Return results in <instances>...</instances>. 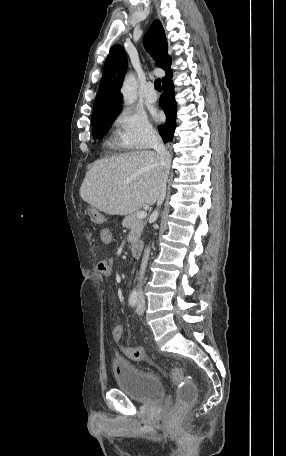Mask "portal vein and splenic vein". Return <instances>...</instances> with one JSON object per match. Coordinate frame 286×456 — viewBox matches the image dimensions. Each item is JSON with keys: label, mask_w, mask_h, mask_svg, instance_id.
I'll return each mask as SVG.
<instances>
[{"label": "portal vein and splenic vein", "mask_w": 286, "mask_h": 456, "mask_svg": "<svg viewBox=\"0 0 286 456\" xmlns=\"http://www.w3.org/2000/svg\"><path fill=\"white\" fill-rule=\"evenodd\" d=\"M146 216H147V212H146V211H139V212H137V214H136V217H137L138 219H144V218H146Z\"/></svg>", "instance_id": "1"}]
</instances>
